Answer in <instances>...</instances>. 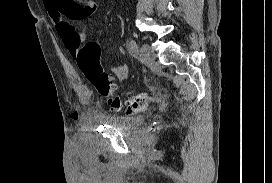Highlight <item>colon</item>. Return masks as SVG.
I'll return each mask as SVG.
<instances>
[{
	"label": "colon",
	"mask_w": 272,
	"mask_h": 183,
	"mask_svg": "<svg viewBox=\"0 0 272 183\" xmlns=\"http://www.w3.org/2000/svg\"><path fill=\"white\" fill-rule=\"evenodd\" d=\"M100 52V44L95 41L86 43L80 49L77 62L81 72L95 87L99 95L106 98L109 105L113 108L122 109L128 114L142 111L151 99V96L148 93H141L127 99L114 97L112 95V82L103 71L99 62Z\"/></svg>",
	"instance_id": "colon-1"
}]
</instances>
